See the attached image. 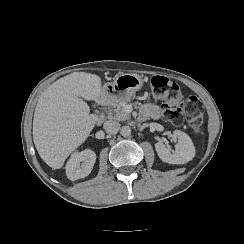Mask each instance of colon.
<instances>
[{"mask_svg":"<svg viewBox=\"0 0 244 244\" xmlns=\"http://www.w3.org/2000/svg\"><path fill=\"white\" fill-rule=\"evenodd\" d=\"M151 86L150 101L154 103L166 102L163 109L172 118L173 124H182L183 117L180 114H184L192 131L195 133L200 131L204 105L197 97L190 96L183 101L178 85L166 77L153 76Z\"/></svg>","mask_w":244,"mask_h":244,"instance_id":"5ec220e1","label":"colon"}]
</instances>
